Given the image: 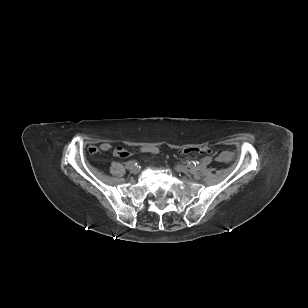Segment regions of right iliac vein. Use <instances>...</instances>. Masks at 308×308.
<instances>
[{
	"instance_id": "1",
	"label": "right iliac vein",
	"mask_w": 308,
	"mask_h": 308,
	"mask_svg": "<svg viewBox=\"0 0 308 308\" xmlns=\"http://www.w3.org/2000/svg\"><path fill=\"white\" fill-rule=\"evenodd\" d=\"M131 172H132L133 174H138V173H139V168H138V167H133V168L131 169Z\"/></svg>"
}]
</instances>
